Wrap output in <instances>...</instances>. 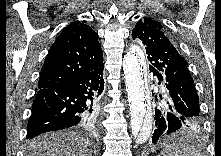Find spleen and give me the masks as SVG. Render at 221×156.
<instances>
[{
  "label": "spleen",
  "mask_w": 221,
  "mask_h": 156,
  "mask_svg": "<svg viewBox=\"0 0 221 156\" xmlns=\"http://www.w3.org/2000/svg\"><path fill=\"white\" fill-rule=\"evenodd\" d=\"M160 156H201V153L194 146L174 138L171 145L161 151Z\"/></svg>",
  "instance_id": "obj_1"
}]
</instances>
